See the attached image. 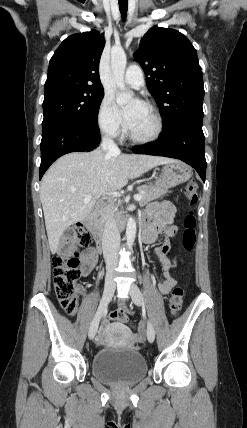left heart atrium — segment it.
<instances>
[{
	"mask_svg": "<svg viewBox=\"0 0 247 428\" xmlns=\"http://www.w3.org/2000/svg\"><path fill=\"white\" fill-rule=\"evenodd\" d=\"M146 105L140 99H134L127 107L122 110V116L128 128H131Z\"/></svg>",
	"mask_w": 247,
	"mask_h": 428,
	"instance_id": "obj_1",
	"label": "left heart atrium"
}]
</instances>
